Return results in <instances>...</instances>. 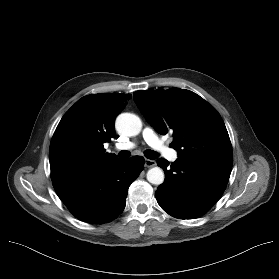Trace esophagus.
<instances>
[{
	"label": "esophagus",
	"mask_w": 279,
	"mask_h": 279,
	"mask_svg": "<svg viewBox=\"0 0 279 279\" xmlns=\"http://www.w3.org/2000/svg\"><path fill=\"white\" fill-rule=\"evenodd\" d=\"M156 166V161L155 160H150V159H146L145 160V167H154Z\"/></svg>",
	"instance_id": "obj_1"
}]
</instances>
